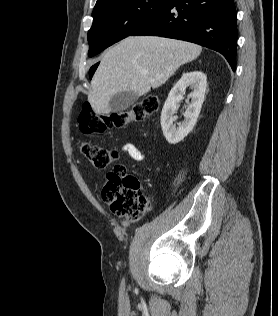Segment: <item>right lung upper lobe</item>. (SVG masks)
Segmentation results:
<instances>
[{"instance_id": "cb5924a9", "label": "right lung upper lobe", "mask_w": 278, "mask_h": 316, "mask_svg": "<svg viewBox=\"0 0 278 316\" xmlns=\"http://www.w3.org/2000/svg\"><path fill=\"white\" fill-rule=\"evenodd\" d=\"M104 1H106V0H97L96 5H98V4H100L101 2H104Z\"/></svg>"}]
</instances>
